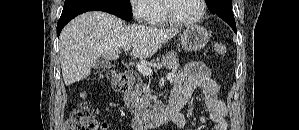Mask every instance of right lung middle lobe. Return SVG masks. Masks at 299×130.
Masks as SVG:
<instances>
[{
	"label": "right lung middle lobe",
	"mask_w": 299,
	"mask_h": 130,
	"mask_svg": "<svg viewBox=\"0 0 299 130\" xmlns=\"http://www.w3.org/2000/svg\"><path fill=\"white\" fill-rule=\"evenodd\" d=\"M112 1H115L123 6H126L128 8H131L130 7V0H112Z\"/></svg>",
	"instance_id": "dd1d6c3e"
}]
</instances>
